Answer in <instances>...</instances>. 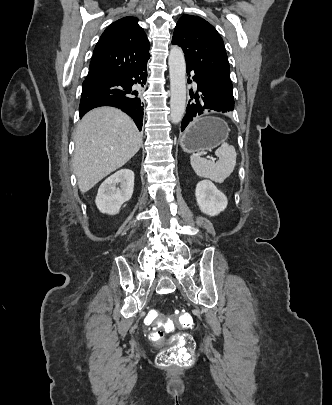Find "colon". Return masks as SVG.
<instances>
[{
  "instance_id": "obj_1",
  "label": "colon",
  "mask_w": 332,
  "mask_h": 405,
  "mask_svg": "<svg viewBox=\"0 0 332 405\" xmlns=\"http://www.w3.org/2000/svg\"><path fill=\"white\" fill-rule=\"evenodd\" d=\"M176 325L183 328H191L193 326V318L189 313L179 312L167 319H159L155 311L146 317L147 327L164 328L167 332H172ZM153 338L157 341L161 340L163 333L161 331L155 332ZM173 340L175 344L159 354L157 363L162 366L192 364L195 357V342L192 336L178 333L173 336Z\"/></svg>"
}]
</instances>
